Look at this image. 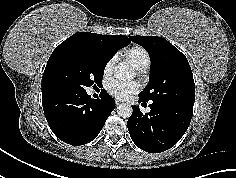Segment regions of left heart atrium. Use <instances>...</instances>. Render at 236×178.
<instances>
[{"instance_id":"1","label":"left heart atrium","mask_w":236,"mask_h":178,"mask_svg":"<svg viewBox=\"0 0 236 178\" xmlns=\"http://www.w3.org/2000/svg\"><path fill=\"white\" fill-rule=\"evenodd\" d=\"M107 92L119 100H126L139 90L135 81H120L112 79L106 84Z\"/></svg>"}]
</instances>
